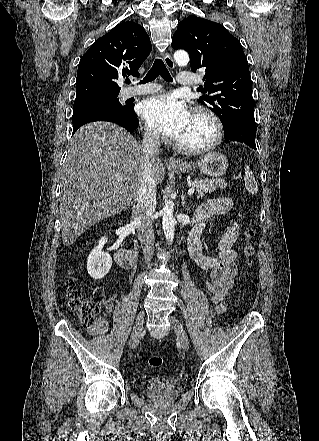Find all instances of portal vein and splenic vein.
I'll list each match as a JSON object with an SVG mask.
<instances>
[{
	"label": "portal vein and splenic vein",
	"instance_id": "obj_1",
	"mask_svg": "<svg viewBox=\"0 0 319 441\" xmlns=\"http://www.w3.org/2000/svg\"><path fill=\"white\" fill-rule=\"evenodd\" d=\"M116 179H117L118 181H121V180H122V177H121L119 174H117V175H116ZM194 191H195V188H190V189L188 190V195L191 196V195L194 193Z\"/></svg>",
	"mask_w": 319,
	"mask_h": 441
}]
</instances>
